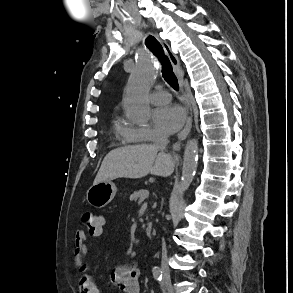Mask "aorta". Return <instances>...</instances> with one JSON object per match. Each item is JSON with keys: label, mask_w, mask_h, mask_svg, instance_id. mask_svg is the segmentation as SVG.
I'll return each instance as SVG.
<instances>
[{"label": "aorta", "mask_w": 293, "mask_h": 293, "mask_svg": "<svg viewBox=\"0 0 293 293\" xmlns=\"http://www.w3.org/2000/svg\"><path fill=\"white\" fill-rule=\"evenodd\" d=\"M158 74L155 61L146 57L139 59L134 71L131 73L124 96V109L126 114L139 124L147 123L151 118L150 107L146 97L149 89ZM198 165V144L195 139L186 144L182 178L176 187L173 198H180L190 186Z\"/></svg>", "instance_id": "obj_1"}]
</instances>
